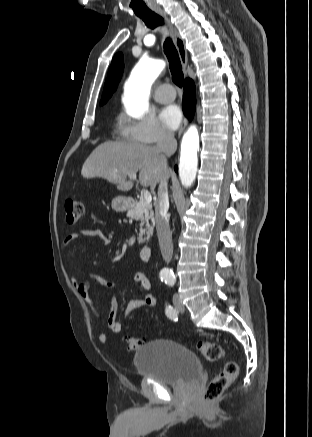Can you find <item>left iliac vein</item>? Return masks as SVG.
Masks as SVG:
<instances>
[{
	"label": "left iliac vein",
	"mask_w": 312,
	"mask_h": 437,
	"mask_svg": "<svg viewBox=\"0 0 312 437\" xmlns=\"http://www.w3.org/2000/svg\"><path fill=\"white\" fill-rule=\"evenodd\" d=\"M173 303H174V306H175L177 311H179L181 313H183L185 311V308H184L183 304L181 303L178 294H174Z\"/></svg>",
	"instance_id": "4c4485c4"
}]
</instances>
